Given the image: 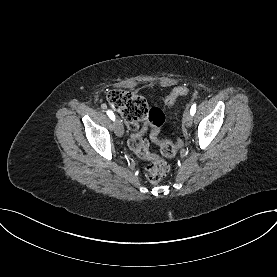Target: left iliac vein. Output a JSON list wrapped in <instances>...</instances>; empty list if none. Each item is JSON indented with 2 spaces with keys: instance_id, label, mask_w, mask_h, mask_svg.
Wrapping results in <instances>:
<instances>
[{
  "instance_id": "4c4485c4",
  "label": "left iliac vein",
  "mask_w": 277,
  "mask_h": 277,
  "mask_svg": "<svg viewBox=\"0 0 277 277\" xmlns=\"http://www.w3.org/2000/svg\"><path fill=\"white\" fill-rule=\"evenodd\" d=\"M193 118L189 110H186L183 115V124L186 127H190L192 125Z\"/></svg>"
}]
</instances>
